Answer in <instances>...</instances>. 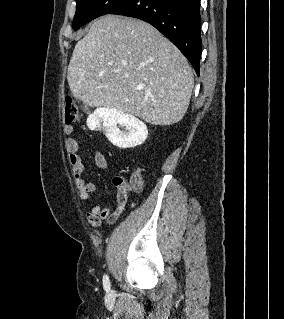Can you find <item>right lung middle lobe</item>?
Masks as SVG:
<instances>
[{
  "instance_id": "dd1d6c3e",
  "label": "right lung middle lobe",
  "mask_w": 284,
  "mask_h": 319,
  "mask_svg": "<svg viewBox=\"0 0 284 319\" xmlns=\"http://www.w3.org/2000/svg\"><path fill=\"white\" fill-rule=\"evenodd\" d=\"M130 0H76V13L73 19L74 29H79L87 22L109 14Z\"/></svg>"
}]
</instances>
